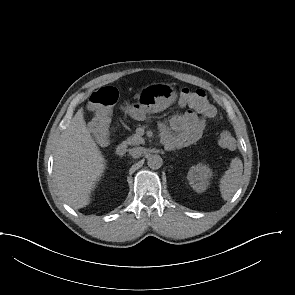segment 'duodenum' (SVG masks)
<instances>
[{
    "instance_id": "1",
    "label": "duodenum",
    "mask_w": 295,
    "mask_h": 295,
    "mask_svg": "<svg viewBox=\"0 0 295 295\" xmlns=\"http://www.w3.org/2000/svg\"><path fill=\"white\" fill-rule=\"evenodd\" d=\"M126 153V145L124 143H120L115 148V154L117 156H123Z\"/></svg>"
}]
</instances>
